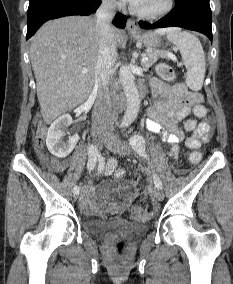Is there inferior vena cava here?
Instances as JSON below:
<instances>
[{
    "label": "inferior vena cava",
    "mask_w": 233,
    "mask_h": 284,
    "mask_svg": "<svg viewBox=\"0 0 233 284\" xmlns=\"http://www.w3.org/2000/svg\"><path fill=\"white\" fill-rule=\"evenodd\" d=\"M116 0H102L96 12V26L99 29V54L95 67V87L97 100L92 113L94 131L112 134L114 119L112 116V99L115 98L109 90L116 61V44L111 20L115 15Z\"/></svg>",
    "instance_id": "602c4592"
}]
</instances>
